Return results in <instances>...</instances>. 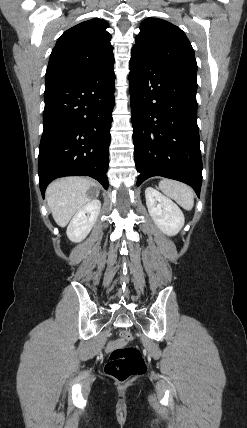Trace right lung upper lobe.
I'll return each mask as SVG.
<instances>
[{"label":"right lung upper lobe","mask_w":247,"mask_h":428,"mask_svg":"<svg viewBox=\"0 0 247 428\" xmlns=\"http://www.w3.org/2000/svg\"><path fill=\"white\" fill-rule=\"evenodd\" d=\"M108 26L94 18L65 31L52 50L45 86L80 78L113 60Z\"/></svg>","instance_id":"1"}]
</instances>
